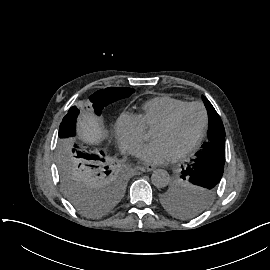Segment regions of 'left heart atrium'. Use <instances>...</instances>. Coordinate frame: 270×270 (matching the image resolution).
I'll return each instance as SVG.
<instances>
[{"mask_svg":"<svg viewBox=\"0 0 270 270\" xmlns=\"http://www.w3.org/2000/svg\"><path fill=\"white\" fill-rule=\"evenodd\" d=\"M177 154L165 141H153L140 153V160L147 166L167 165L172 163Z\"/></svg>","mask_w":270,"mask_h":270,"instance_id":"39dd6f15","label":"left heart atrium"}]
</instances>
